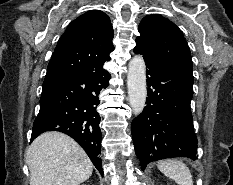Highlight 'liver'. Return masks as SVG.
<instances>
[{
    "label": "liver",
    "instance_id": "6515ba94",
    "mask_svg": "<svg viewBox=\"0 0 233 185\" xmlns=\"http://www.w3.org/2000/svg\"><path fill=\"white\" fill-rule=\"evenodd\" d=\"M30 185H79L93 165L81 146L61 132L38 136L26 152Z\"/></svg>",
    "mask_w": 233,
    "mask_h": 185
}]
</instances>
